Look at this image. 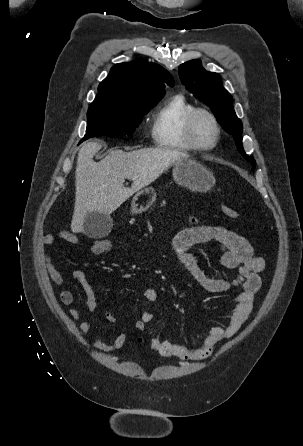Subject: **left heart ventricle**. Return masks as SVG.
Wrapping results in <instances>:
<instances>
[{
	"instance_id": "obj_1",
	"label": "left heart ventricle",
	"mask_w": 303,
	"mask_h": 446,
	"mask_svg": "<svg viewBox=\"0 0 303 446\" xmlns=\"http://www.w3.org/2000/svg\"><path fill=\"white\" fill-rule=\"evenodd\" d=\"M194 136L204 146L212 144L215 138V128L211 120L205 115H199L194 123Z\"/></svg>"
}]
</instances>
